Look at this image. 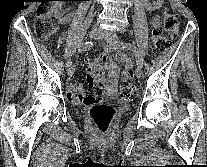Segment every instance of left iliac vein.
<instances>
[{
    "label": "left iliac vein",
    "instance_id": "1",
    "mask_svg": "<svg viewBox=\"0 0 207 167\" xmlns=\"http://www.w3.org/2000/svg\"><path fill=\"white\" fill-rule=\"evenodd\" d=\"M100 39L106 40L109 43V45L114 49L120 48V47L117 46V44L119 43L118 37L113 32H105V31L102 32V35H101ZM136 76L138 78H140L142 76V67L137 66Z\"/></svg>",
    "mask_w": 207,
    "mask_h": 167
}]
</instances>
